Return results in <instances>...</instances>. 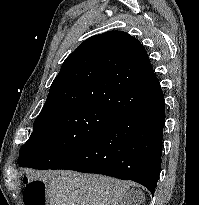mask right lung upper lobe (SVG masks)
<instances>
[{
  "label": "right lung upper lobe",
  "mask_w": 199,
  "mask_h": 205,
  "mask_svg": "<svg viewBox=\"0 0 199 205\" xmlns=\"http://www.w3.org/2000/svg\"><path fill=\"white\" fill-rule=\"evenodd\" d=\"M155 79L143 45L128 33L108 31L88 38L66 58L42 111L91 106L121 116L144 98L129 84Z\"/></svg>",
  "instance_id": "cb5924a9"
}]
</instances>
